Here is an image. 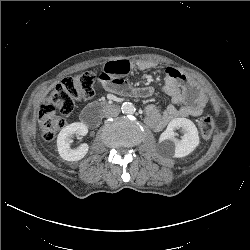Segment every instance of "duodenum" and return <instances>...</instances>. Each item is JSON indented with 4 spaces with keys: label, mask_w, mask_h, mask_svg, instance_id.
<instances>
[{
    "label": "duodenum",
    "mask_w": 250,
    "mask_h": 250,
    "mask_svg": "<svg viewBox=\"0 0 250 250\" xmlns=\"http://www.w3.org/2000/svg\"><path fill=\"white\" fill-rule=\"evenodd\" d=\"M114 108V104L104 101L96 102L82 111L81 121L89 127H95L98 124L102 114L107 111H111Z\"/></svg>",
    "instance_id": "410a0bca"
}]
</instances>
